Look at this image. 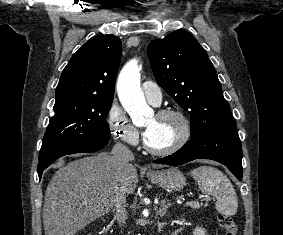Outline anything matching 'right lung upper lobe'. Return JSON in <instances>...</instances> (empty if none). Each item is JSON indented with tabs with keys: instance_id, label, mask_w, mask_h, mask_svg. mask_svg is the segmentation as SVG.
I'll use <instances>...</instances> for the list:
<instances>
[{
	"instance_id": "1",
	"label": "right lung upper lobe",
	"mask_w": 283,
	"mask_h": 235,
	"mask_svg": "<svg viewBox=\"0 0 283 235\" xmlns=\"http://www.w3.org/2000/svg\"><path fill=\"white\" fill-rule=\"evenodd\" d=\"M122 45L117 36L89 39L71 57L55 91V103L73 97L113 98Z\"/></svg>"
}]
</instances>
